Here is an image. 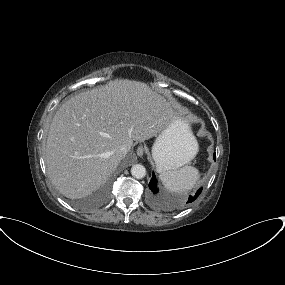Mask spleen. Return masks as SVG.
Masks as SVG:
<instances>
[{"mask_svg":"<svg viewBox=\"0 0 285 285\" xmlns=\"http://www.w3.org/2000/svg\"><path fill=\"white\" fill-rule=\"evenodd\" d=\"M157 170L164 187L173 193H183L193 189L200 178L198 169L193 166H184L174 171Z\"/></svg>","mask_w":285,"mask_h":285,"instance_id":"spleen-1","label":"spleen"}]
</instances>
